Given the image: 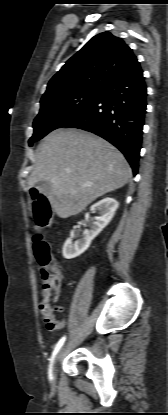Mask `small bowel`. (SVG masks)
<instances>
[{
	"label": "small bowel",
	"instance_id": "small-bowel-1",
	"mask_svg": "<svg viewBox=\"0 0 168 415\" xmlns=\"http://www.w3.org/2000/svg\"><path fill=\"white\" fill-rule=\"evenodd\" d=\"M41 294L42 301L39 305V309L44 318L47 328L49 330H58L63 328L66 324V321L64 319H57L54 312V310L62 312L63 307L58 306L54 309L51 305L52 299L56 301L59 297V285L52 287L48 284H44L41 290Z\"/></svg>",
	"mask_w": 168,
	"mask_h": 415
}]
</instances>
